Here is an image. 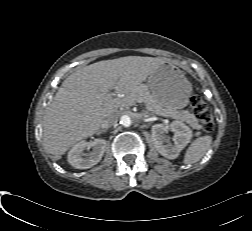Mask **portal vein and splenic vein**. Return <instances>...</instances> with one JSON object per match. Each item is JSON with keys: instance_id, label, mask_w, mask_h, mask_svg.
Instances as JSON below:
<instances>
[{"instance_id": "1", "label": "portal vein and splenic vein", "mask_w": 252, "mask_h": 231, "mask_svg": "<svg viewBox=\"0 0 252 231\" xmlns=\"http://www.w3.org/2000/svg\"><path fill=\"white\" fill-rule=\"evenodd\" d=\"M113 96H115V94L113 92H109V93L106 94L105 98L108 101H113L114 100ZM115 100H118V98H116ZM121 103H122L123 106L133 104V102L131 101V99L129 97L122 98Z\"/></svg>"}]
</instances>
